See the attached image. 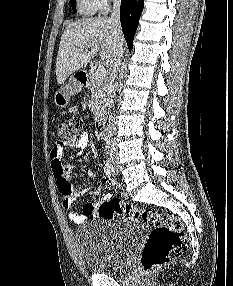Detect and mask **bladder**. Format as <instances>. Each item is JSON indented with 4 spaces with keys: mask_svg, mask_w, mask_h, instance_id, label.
I'll list each match as a JSON object with an SVG mask.
<instances>
[{
    "mask_svg": "<svg viewBox=\"0 0 233 286\" xmlns=\"http://www.w3.org/2000/svg\"><path fill=\"white\" fill-rule=\"evenodd\" d=\"M146 225L139 219H109L83 225L76 242L86 267L95 273L123 269L140 243Z\"/></svg>",
    "mask_w": 233,
    "mask_h": 286,
    "instance_id": "1",
    "label": "bladder"
}]
</instances>
